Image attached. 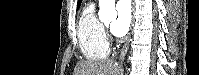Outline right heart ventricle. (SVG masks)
<instances>
[{
  "mask_svg": "<svg viewBox=\"0 0 199 75\" xmlns=\"http://www.w3.org/2000/svg\"><path fill=\"white\" fill-rule=\"evenodd\" d=\"M79 48L83 56L90 60H101L108 56L103 24L95 16L93 6L85 9L78 24Z\"/></svg>",
  "mask_w": 199,
  "mask_h": 75,
  "instance_id": "1",
  "label": "right heart ventricle"
}]
</instances>
